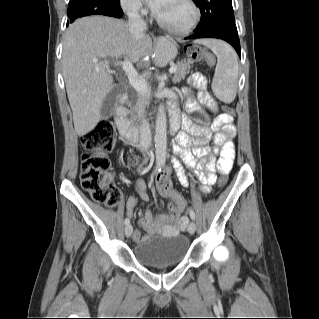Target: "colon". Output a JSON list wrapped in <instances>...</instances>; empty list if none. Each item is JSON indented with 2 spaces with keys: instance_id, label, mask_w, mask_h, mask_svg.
I'll list each match as a JSON object with an SVG mask.
<instances>
[{
  "instance_id": "obj_1",
  "label": "colon",
  "mask_w": 319,
  "mask_h": 319,
  "mask_svg": "<svg viewBox=\"0 0 319 319\" xmlns=\"http://www.w3.org/2000/svg\"><path fill=\"white\" fill-rule=\"evenodd\" d=\"M185 52L191 59L197 60L202 56V51L196 46H186ZM215 109V106L212 107ZM222 111L232 113L233 109L223 105ZM116 140V128L113 122L100 123L95 129L85 134L82 139V147L85 153L82 156L80 178L84 190L98 203L109 208H115L122 202V195L114 186L110 176V161L108 154L113 150ZM138 163L136 156L128 158V164L135 166ZM227 182L226 175L218 179V186L224 187ZM171 188L168 179L159 181V189ZM171 215L179 216L182 213V204L171 202Z\"/></svg>"
}]
</instances>
